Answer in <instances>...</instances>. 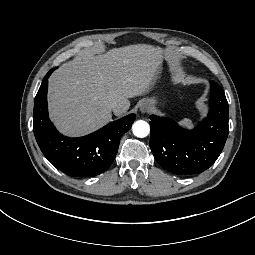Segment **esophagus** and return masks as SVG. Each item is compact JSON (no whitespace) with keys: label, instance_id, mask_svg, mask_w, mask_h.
Masks as SVG:
<instances>
[{"label":"esophagus","instance_id":"esophagus-1","mask_svg":"<svg viewBox=\"0 0 255 255\" xmlns=\"http://www.w3.org/2000/svg\"><path fill=\"white\" fill-rule=\"evenodd\" d=\"M140 111L142 113H148L149 112V105L147 102H144L141 107H140Z\"/></svg>","mask_w":255,"mask_h":255}]
</instances>
